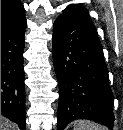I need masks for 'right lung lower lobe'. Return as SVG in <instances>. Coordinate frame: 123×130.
<instances>
[{"label":"right lung lower lobe","instance_id":"right-lung-lower-lobe-1","mask_svg":"<svg viewBox=\"0 0 123 130\" xmlns=\"http://www.w3.org/2000/svg\"><path fill=\"white\" fill-rule=\"evenodd\" d=\"M26 21L1 26V114L26 129L23 49Z\"/></svg>","mask_w":123,"mask_h":130}]
</instances>
